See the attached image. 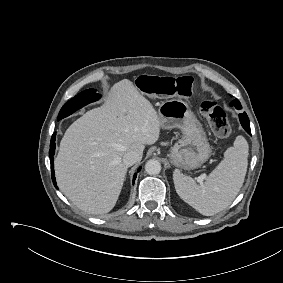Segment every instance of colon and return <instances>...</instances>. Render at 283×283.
Returning <instances> with one entry per match:
<instances>
[{"label":"colon","instance_id":"obj_1","mask_svg":"<svg viewBox=\"0 0 283 283\" xmlns=\"http://www.w3.org/2000/svg\"><path fill=\"white\" fill-rule=\"evenodd\" d=\"M136 85L140 91L151 97H189L199 93L198 82L191 77L140 76ZM201 112L207 117L212 131L219 137H226L231 126L226 111L214 100H204Z\"/></svg>","mask_w":283,"mask_h":283}]
</instances>
